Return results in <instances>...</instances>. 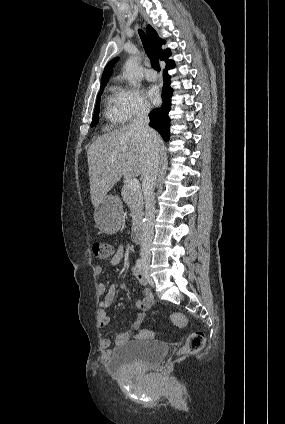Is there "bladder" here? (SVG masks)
<instances>
[{"label":"bladder","instance_id":"31cf9c89","mask_svg":"<svg viewBox=\"0 0 285 424\" xmlns=\"http://www.w3.org/2000/svg\"><path fill=\"white\" fill-rule=\"evenodd\" d=\"M169 351L164 342L136 339L118 346L111 354L109 366L116 372L135 367L150 369L158 366Z\"/></svg>","mask_w":285,"mask_h":424}]
</instances>
